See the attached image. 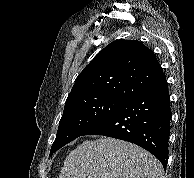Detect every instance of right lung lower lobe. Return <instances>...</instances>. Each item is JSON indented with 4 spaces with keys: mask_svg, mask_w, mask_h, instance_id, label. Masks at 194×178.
<instances>
[{
    "mask_svg": "<svg viewBox=\"0 0 194 178\" xmlns=\"http://www.w3.org/2000/svg\"><path fill=\"white\" fill-rule=\"evenodd\" d=\"M171 117L166 84L125 101L82 135H104L132 142L152 153L166 168Z\"/></svg>",
    "mask_w": 194,
    "mask_h": 178,
    "instance_id": "98d812e1",
    "label": "right lung lower lobe"
}]
</instances>
